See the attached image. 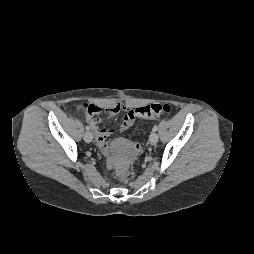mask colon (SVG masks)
<instances>
[{
  "label": "colon",
  "mask_w": 254,
  "mask_h": 254,
  "mask_svg": "<svg viewBox=\"0 0 254 254\" xmlns=\"http://www.w3.org/2000/svg\"><path fill=\"white\" fill-rule=\"evenodd\" d=\"M82 111L87 115L94 114L96 108L94 105H81ZM171 112L170 105L167 104H149L146 106L138 107L134 110V114L137 117L145 118V119H153L160 116L168 115ZM119 144L128 151H135L140 149L138 144H132L125 141H120ZM138 153V152H137ZM118 172L121 175L125 174V166L124 164H120L118 168Z\"/></svg>",
  "instance_id": "1"
}]
</instances>
